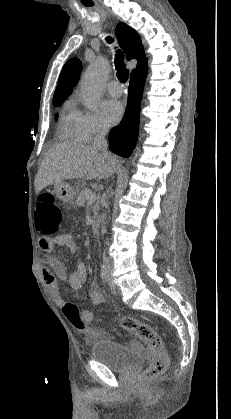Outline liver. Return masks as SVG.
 Listing matches in <instances>:
<instances>
[{"instance_id":"obj_1","label":"liver","mask_w":231,"mask_h":419,"mask_svg":"<svg viewBox=\"0 0 231 419\" xmlns=\"http://www.w3.org/2000/svg\"><path fill=\"white\" fill-rule=\"evenodd\" d=\"M116 170V159L91 146L63 142L45 155L35 177L36 194L49 185L71 179H105Z\"/></svg>"}]
</instances>
